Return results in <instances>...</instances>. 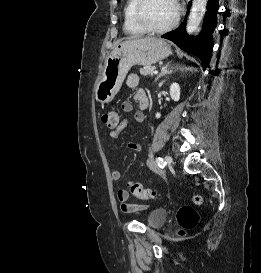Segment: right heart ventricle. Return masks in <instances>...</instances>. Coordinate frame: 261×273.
<instances>
[{"label":"right heart ventricle","instance_id":"obj_1","mask_svg":"<svg viewBox=\"0 0 261 273\" xmlns=\"http://www.w3.org/2000/svg\"><path fill=\"white\" fill-rule=\"evenodd\" d=\"M136 0H127L124 7V31L129 35H141L144 31L133 20V8Z\"/></svg>","mask_w":261,"mask_h":273}]
</instances>
